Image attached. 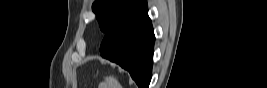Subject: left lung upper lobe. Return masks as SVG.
Segmentation results:
<instances>
[{
    "label": "left lung upper lobe",
    "instance_id": "5c2ea615",
    "mask_svg": "<svg viewBox=\"0 0 267 88\" xmlns=\"http://www.w3.org/2000/svg\"><path fill=\"white\" fill-rule=\"evenodd\" d=\"M144 0H95L93 11L99 22L100 29L107 33L118 20L128 11L138 6Z\"/></svg>",
    "mask_w": 267,
    "mask_h": 88
}]
</instances>
